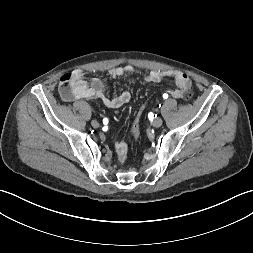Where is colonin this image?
Listing matches in <instances>:
<instances>
[{
    "instance_id": "colon-1",
    "label": "colon",
    "mask_w": 253,
    "mask_h": 253,
    "mask_svg": "<svg viewBox=\"0 0 253 253\" xmlns=\"http://www.w3.org/2000/svg\"><path fill=\"white\" fill-rule=\"evenodd\" d=\"M189 97V92L186 94V98ZM147 110V105L146 104H141L138 109L136 110V120L133 125V137L134 139H138L140 135V127H141V122L142 118L144 117V114L146 113L145 111Z\"/></svg>"
}]
</instances>
